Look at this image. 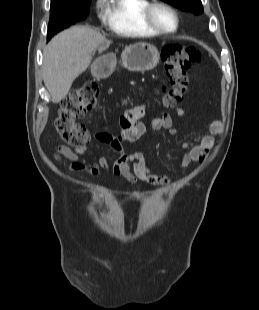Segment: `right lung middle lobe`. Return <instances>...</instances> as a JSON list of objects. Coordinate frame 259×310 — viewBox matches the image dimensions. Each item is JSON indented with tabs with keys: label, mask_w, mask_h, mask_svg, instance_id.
I'll return each mask as SVG.
<instances>
[{
	"label": "right lung middle lobe",
	"mask_w": 259,
	"mask_h": 310,
	"mask_svg": "<svg viewBox=\"0 0 259 310\" xmlns=\"http://www.w3.org/2000/svg\"><path fill=\"white\" fill-rule=\"evenodd\" d=\"M91 0L81 4L51 8L47 39L50 40L61 30L68 28L79 20H83L89 13Z\"/></svg>",
	"instance_id": "dd1d6c3e"
}]
</instances>
